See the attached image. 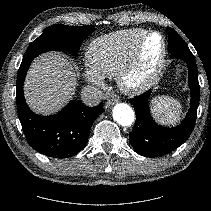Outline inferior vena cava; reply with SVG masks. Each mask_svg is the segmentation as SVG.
I'll list each match as a JSON object with an SVG mask.
<instances>
[{
  "instance_id": "602c4592",
  "label": "inferior vena cava",
  "mask_w": 211,
  "mask_h": 211,
  "mask_svg": "<svg viewBox=\"0 0 211 211\" xmlns=\"http://www.w3.org/2000/svg\"><path fill=\"white\" fill-rule=\"evenodd\" d=\"M102 97V91L93 86H85L81 91L83 103L90 107L97 106L101 102Z\"/></svg>"
}]
</instances>
